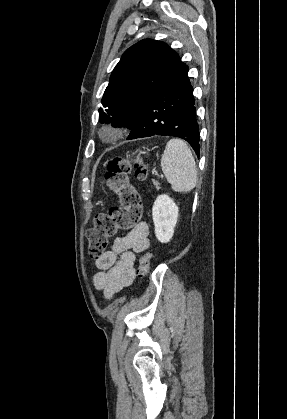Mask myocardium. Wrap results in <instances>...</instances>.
Returning a JSON list of instances; mask_svg holds the SVG:
<instances>
[{
	"label": "myocardium",
	"mask_w": 287,
	"mask_h": 419,
	"mask_svg": "<svg viewBox=\"0 0 287 419\" xmlns=\"http://www.w3.org/2000/svg\"><path fill=\"white\" fill-rule=\"evenodd\" d=\"M121 135L120 131H115L111 128L107 129L104 133V139L106 140H115Z\"/></svg>",
	"instance_id": "1"
}]
</instances>
